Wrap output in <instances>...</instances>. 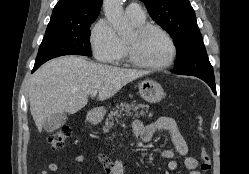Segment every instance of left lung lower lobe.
I'll use <instances>...</instances> for the list:
<instances>
[{
	"label": "left lung lower lobe",
	"mask_w": 249,
	"mask_h": 174,
	"mask_svg": "<svg viewBox=\"0 0 249 174\" xmlns=\"http://www.w3.org/2000/svg\"><path fill=\"white\" fill-rule=\"evenodd\" d=\"M195 76L205 81L211 87L212 91L216 94V86H215L214 77H208V76H202V75H195Z\"/></svg>",
	"instance_id": "left-lung-lower-lobe-1"
}]
</instances>
